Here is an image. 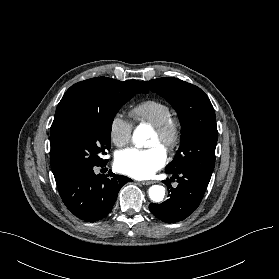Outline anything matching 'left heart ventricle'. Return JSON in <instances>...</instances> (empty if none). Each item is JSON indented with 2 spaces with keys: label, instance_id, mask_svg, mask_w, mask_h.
<instances>
[{
  "label": "left heart ventricle",
  "instance_id": "left-heart-ventricle-1",
  "mask_svg": "<svg viewBox=\"0 0 279 279\" xmlns=\"http://www.w3.org/2000/svg\"><path fill=\"white\" fill-rule=\"evenodd\" d=\"M150 146H154V145H160L161 147L164 148V143L162 142V140L158 137V135L153 132L150 142H149Z\"/></svg>",
  "mask_w": 279,
  "mask_h": 279
}]
</instances>
